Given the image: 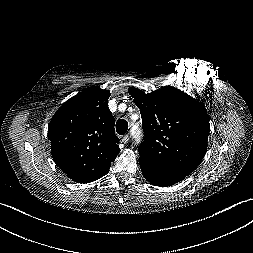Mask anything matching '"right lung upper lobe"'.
Listing matches in <instances>:
<instances>
[{"label": "right lung upper lobe", "mask_w": 253, "mask_h": 253, "mask_svg": "<svg viewBox=\"0 0 253 253\" xmlns=\"http://www.w3.org/2000/svg\"><path fill=\"white\" fill-rule=\"evenodd\" d=\"M110 93L98 87L66 101L48 126L55 164L75 182L90 183L104 176L120 151Z\"/></svg>", "instance_id": "right-lung-upper-lobe-1"}]
</instances>
